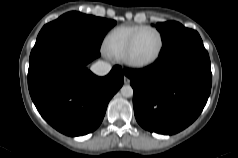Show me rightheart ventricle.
Segmentation results:
<instances>
[{
    "mask_svg": "<svg viewBox=\"0 0 238 158\" xmlns=\"http://www.w3.org/2000/svg\"><path fill=\"white\" fill-rule=\"evenodd\" d=\"M143 25H122L111 30L104 39V51L113 57L123 58L127 45L133 36Z\"/></svg>",
    "mask_w": 238,
    "mask_h": 158,
    "instance_id": "right-heart-ventricle-1",
    "label": "right heart ventricle"
}]
</instances>
